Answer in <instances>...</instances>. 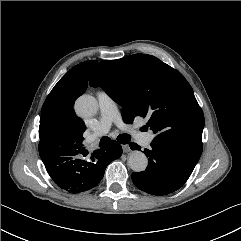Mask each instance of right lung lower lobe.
I'll return each instance as SVG.
<instances>
[{"label": "right lung lower lobe", "instance_id": "1", "mask_svg": "<svg viewBox=\"0 0 241 241\" xmlns=\"http://www.w3.org/2000/svg\"><path fill=\"white\" fill-rule=\"evenodd\" d=\"M45 168L53 181L70 193H81L95 187L103 178L107 165L119 158L122 148L115 140L109 146L96 150L90 159L84 148L56 155L39 152Z\"/></svg>", "mask_w": 241, "mask_h": 241}]
</instances>
